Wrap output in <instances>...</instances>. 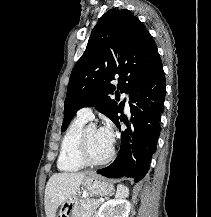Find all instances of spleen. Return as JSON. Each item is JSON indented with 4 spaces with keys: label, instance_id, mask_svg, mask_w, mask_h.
<instances>
[{
    "label": "spleen",
    "instance_id": "obj_1",
    "mask_svg": "<svg viewBox=\"0 0 211 217\" xmlns=\"http://www.w3.org/2000/svg\"><path fill=\"white\" fill-rule=\"evenodd\" d=\"M129 194V189L124 186V185H118L117 186V192H116V197L117 198H125Z\"/></svg>",
    "mask_w": 211,
    "mask_h": 217
}]
</instances>
